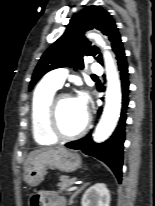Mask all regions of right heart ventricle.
<instances>
[{"label":"right heart ventricle","mask_w":155,"mask_h":206,"mask_svg":"<svg viewBox=\"0 0 155 206\" xmlns=\"http://www.w3.org/2000/svg\"><path fill=\"white\" fill-rule=\"evenodd\" d=\"M56 90L55 86L42 82L33 94L30 110L32 134L40 145H50L56 140L49 132L46 121L48 105Z\"/></svg>","instance_id":"1"}]
</instances>
